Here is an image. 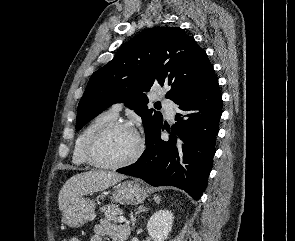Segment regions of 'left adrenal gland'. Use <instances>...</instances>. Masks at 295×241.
<instances>
[{
    "label": "left adrenal gland",
    "instance_id": "left-adrenal-gland-1",
    "mask_svg": "<svg viewBox=\"0 0 295 241\" xmlns=\"http://www.w3.org/2000/svg\"><path fill=\"white\" fill-rule=\"evenodd\" d=\"M148 208L144 207V205H140L138 207V210L135 212V215L132 216L131 221H132V229L135 228V222H136V217L140 212H145L147 211Z\"/></svg>",
    "mask_w": 295,
    "mask_h": 241
}]
</instances>
